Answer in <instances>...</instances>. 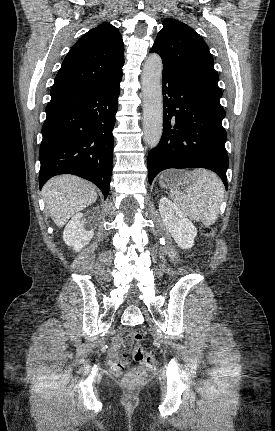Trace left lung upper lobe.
I'll return each mask as SVG.
<instances>
[{
	"label": "left lung upper lobe",
	"instance_id": "obj_1",
	"mask_svg": "<svg viewBox=\"0 0 275 431\" xmlns=\"http://www.w3.org/2000/svg\"><path fill=\"white\" fill-rule=\"evenodd\" d=\"M151 52L158 53L163 68L179 76L203 99L223 108L219 99L218 73L209 48L200 35L188 25L174 19L163 21Z\"/></svg>",
	"mask_w": 275,
	"mask_h": 431
}]
</instances>
